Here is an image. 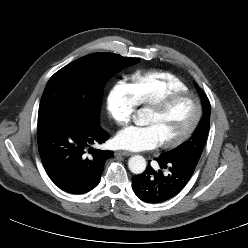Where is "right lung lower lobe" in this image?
<instances>
[{
	"label": "right lung lower lobe",
	"instance_id": "98d812e1",
	"mask_svg": "<svg viewBox=\"0 0 248 248\" xmlns=\"http://www.w3.org/2000/svg\"><path fill=\"white\" fill-rule=\"evenodd\" d=\"M108 138L99 123H73L58 117L38 120V149L46 173L57 187L71 194H84L98 185L113 152L93 151L90 146ZM87 149L92 153L89 157Z\"/></svg>",
	"mask_w": 248,
	"mask_h": 248
}]
</instances>
